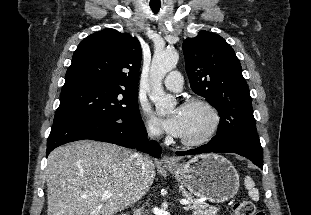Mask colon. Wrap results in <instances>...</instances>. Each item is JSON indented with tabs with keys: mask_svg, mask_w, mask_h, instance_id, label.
<instances>
[{
	"mask_svg": "<svg viewBox=\"0 0 311 215\" xmlns=\"http://www.w3.org/2000/svg\"><path fill=\"white\" fill-rule=\"evenodd\" d=\"M233 215H266L264 212L257 211L255 205L248 200L236 202L233 205Z\"/></svg>",
	"mask_w": 311,
	"mask_h": 215,
	"instance_id": "1",
	"label": "colon"
}]
</instances>
